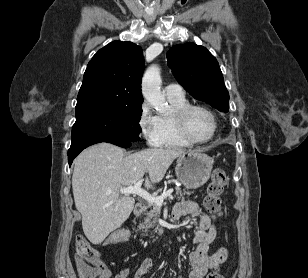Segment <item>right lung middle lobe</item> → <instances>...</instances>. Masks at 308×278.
Returning a JSON list of instances; mask_svg holds the SVG:
<instances>
[{
    "label": "right lung middle lobe",
    "mask_w": 308,
    "mask_h": 278,
    "mask_svg": "<svg viewBox=\"0 0 308 278\" xmlns=\"http://www.w3.org/2000/svg\"><path fill=\"white\" fill-rule=\"evenodd\" d=\"M141 106L121 107L76 115L71 142L86 140L136 141L141 127Z\"/></svg>",
    "instance_id": "right-lung-middle-lobe-1"
}]
</instances>
